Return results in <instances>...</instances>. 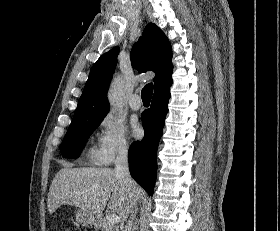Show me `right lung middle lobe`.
<instances>
[{
	"mask_svg": "<svg viewBox=\"0 0 280 231\" xmlns=\"http://www.w3.org/2000/svg\"><path fill=\"white\" fill-rule=\"evenodd\" d=\"M102 120H91L70 125L61 145L63 157L78 158L88 138Z\"/></svg>",
	"mask_w": 280,
	"mask_h": 231,
	"instance_id": "dd1d6c3e",
	"label": "right lung middle lobe"
}]
</instances>
